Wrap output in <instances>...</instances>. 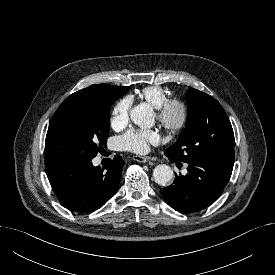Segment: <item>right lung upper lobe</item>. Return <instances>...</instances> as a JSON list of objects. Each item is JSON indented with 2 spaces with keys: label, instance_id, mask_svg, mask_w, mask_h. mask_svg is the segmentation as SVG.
Instances as JSON below:
<instances>
[{
  "label": "right lung upper lobe",
  "instance_id": "obj_1",
  "mask_svg": "<svg viewBox=\"0 0 275 275\" xmlns=\"http://www.w3.org/2000/svg\"><path fill=\"white\" fill-rule=\"evenodd\" d=\"M126 88L127 87H117L108 84H93L67 97L59 108L76 105L87 100H103L114 94L122 92Z\"/></svg>",
  "mask_w": 275,
  "mask_h": 275
}]
</instances>
